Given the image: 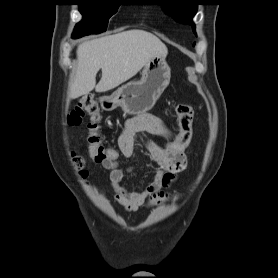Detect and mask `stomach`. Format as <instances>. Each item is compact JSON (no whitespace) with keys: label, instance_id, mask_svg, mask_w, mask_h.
<instances>
[{"label":"stomach","instance_id":"stomach-1","mask_svg":"<svg viewBox=\"0 0 278 278\" xmlns=\"http://www.w3.org/2000/svg\"><path fill=\"white\" fill-rule=\"evenodd\" d=\"M171 69L166 56H154L143 68L139 81H132L117 89L110 96L101 98L105 110L121 107L130 115L145 113L152 109L156 101L169 85Z\"/></svg>","mask_w":278,"mask_h":278}]
</instances>
